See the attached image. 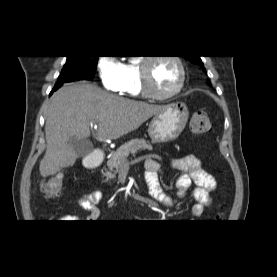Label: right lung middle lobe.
Returning a JSON list of instances; mask_svg holds the SVG:
<instances>
[{
	"instance_id": "obj_1",
	"label": "right lung middle lobe",
	"mask_w": 277,
	"mask_h": 277,
	"mask_svg": "<svg viewBox=\"0 0 277 277\" xmlns=\"http://www.w3.org/2000/svg\"><path fill=\"white\" fill-rule=\"evenodd\" d=\"M98 56L79 57L67 56L66 63L58 78L65 79L66 82L75 79H93L95 69L97 67Z\"/></svg>"
}]
</instances>
